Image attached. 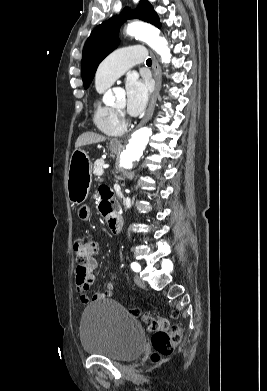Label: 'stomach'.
Returning a JSON list of instances; mask_svg holds the SVG:
<instances>
[{
	"label": "stomach",
	"instance_id": "0dacf381",
	"mask_svg": "<svg viewBox=\"0 0 267 391\" xmlns=\"http://www.w3.org/2000/svg\"><path fill=\"white\" fill-rule=\"evenodd\" d=\"M119 147L110 145L113 153L119 151ZM91 185V161L88 155L81 149H76L71 156L68 175L67 193L73 204H82L87 198Z\"/></svg>",
	"mask_w": 267,
	"mask_h": 391
}]
</instances>
